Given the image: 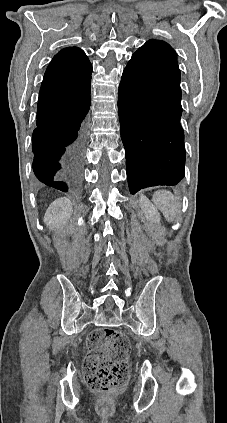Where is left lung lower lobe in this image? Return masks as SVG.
Segmentation results:
<instances>
[{
    "label": "left lung lower lobe",
    "instance_id": "1",
    "mask_svg": "<svg viewBox=\"0 0 227 423\" xmlns=\"http://www.w3.org/2000/svg\"><path fill=\"white\" fill-rule=\"evenodd\" d=\"M118 111L130 193L178 184L185 165L182 111L166 110L152 88L125 76L119 85Z\"/></svg>",
    "mask_w": 227,
    "mask_h": 423
}]
</instances>
